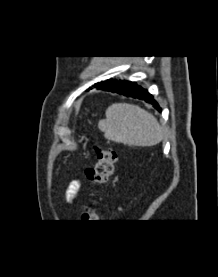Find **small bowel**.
<instances>
[{"label":"small bowel","instance_id":"small-bowel-1","mask_svg":"<svg viewBox=\"0 0 218 277\" xmlns=\"http://www.w3.org/2000/svg\"><path fill=\"white\" fill-rule=\"evenodd\" d=\"M80 188L81 182L79 180H74L70 183L65 194L67 202L72 203L75 200Z\"/></svg>","mask_w":218,"mask_h":277}]
</instances>
